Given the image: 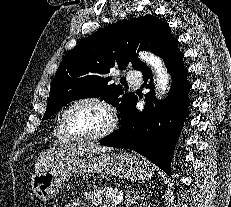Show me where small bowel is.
<instances>
[{
	"mask_svg": "<svg viewBox=\"0 0 231 207\" xmlns=\"http://www.w3.org/2000/svg\"><path fill=\"white\" fill-rule=\"evenodd\" d=\"M63 207H86L85 204L80 200H73L67 204H65Z\"/></svg>",
	"mask_w": 231,
	"mask_h": 207,
	"instance_id": "obj_1",
	"label": "small bowel"
}]
</instances>
